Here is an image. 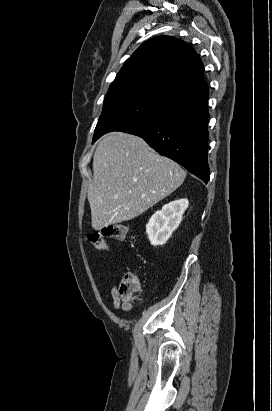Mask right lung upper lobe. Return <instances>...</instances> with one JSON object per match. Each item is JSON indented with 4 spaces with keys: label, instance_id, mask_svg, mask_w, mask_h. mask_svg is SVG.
Masks as SVG:
<instances>
[{
    "label": "right lung upper lobe",
    "instance_id": "1",
    "mask_svg": "<svg viewBox=\"0 0 272 411\" xmlns=\"http://www.w3.org/2000/svg\"><path fill=\"white\" fill-rule=\"evenodd\" d=\"M202 72L203 63L186 42L158 36L132 54L108 92L146 90L183 106L208 96Z\"/></svg>",
    "mask_w": 272,
    "mask_h": 411
}]
</instances>
